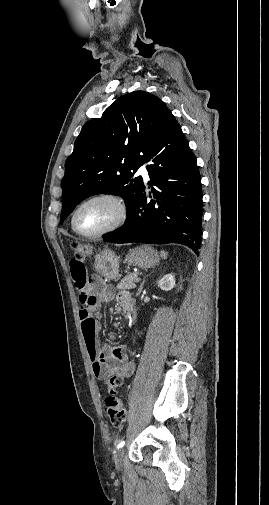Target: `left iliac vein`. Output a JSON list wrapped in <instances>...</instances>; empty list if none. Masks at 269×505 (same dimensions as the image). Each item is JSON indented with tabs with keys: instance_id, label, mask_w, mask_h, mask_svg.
Listing matches in <instances>:
<instances>
[{
	"instance_id": "obj_1",
	"label": "left iliac vein",
	"mask_w": 269,
	"mask_h": 505,
	"mask_svg": "<svg viewBox=\"0 0 269 505\" xmlns=\"http://www.w3.org/2000/svg\"><path fill=\"white\" fill-rule=\"evenodd\" d=\"M124 449H120L114 456V461L117 469H121L123 466Z\"/></svg>"
}]
</instances>
